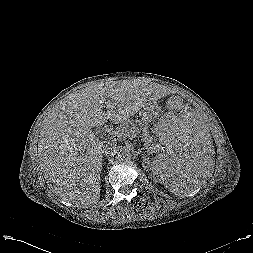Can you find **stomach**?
I'll return each mask as SVG.
<instances>
[{"label": "stomach", "mask_w": 253, "mask_h": 253, "mask_svg": "<svg viewBox=\"0 0 253 253\" xmlns=\"http://www.w3.org/2000/svg\"><path fill=\"white\" fill-rule=\"evenodd\" d=\"M140 116L143 121L148 122L153 120L156 117V114L150 106H147L140 110Z\"/></svg>", "instance_id": "obj_1"}]
</instances>
